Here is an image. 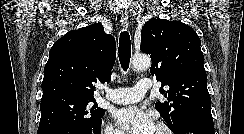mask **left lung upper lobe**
<instances>
[{"mask_svg": "<svg viewBox=\"0 0 244 134\" xmlns=\"http://www.w3.org/2000/svg\"><path fill=\"white\" fill-rule=\"evenodd\" d=\"M200 44L196 32L179 21L154 18L142 28L140 49L150 55V73L161 81L160 92L168 99L157 102L155 108L170 129L188 116L212 119Z\"/></svg>", "mask_w": 244, "mask_h": 134, "instance_id": "left-lung-upper-lobe-1", "label": "left lung upper lobe"}]
</instances>
